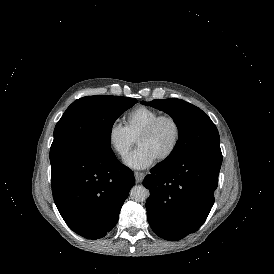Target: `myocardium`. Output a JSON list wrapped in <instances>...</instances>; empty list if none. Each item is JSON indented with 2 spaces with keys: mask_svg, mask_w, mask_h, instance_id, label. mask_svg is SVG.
<instances>
[{
  "mask_svg": "<svg viewBox=\"0 0 274 274\" xmlns=\"http://www.w3.org/2000/svg\"><path fill=\"white\" fill-rule=\"evenodd\" d=\"M163 121H170L172 123V125L174 126V139L172 142V145L170 147V149L168 150V152L161 157L160 159H158L156 161V164H162L166 161H168L176 152L179 142H180V138H181V125L178 121V119L171 115V114H164V115H160L157 118H155L149 125H147L136 137L135 142L143 137H147L149 135H151L155 129L158 127V125L160 123H162Z\"/></svg>",
  "mask_w": 274,
  "mask_h": 274,
  "instance_id": "f54148a6",
  "label": "myocardium"
}]
</instances>
